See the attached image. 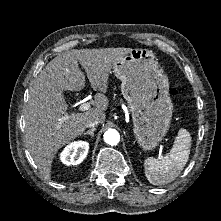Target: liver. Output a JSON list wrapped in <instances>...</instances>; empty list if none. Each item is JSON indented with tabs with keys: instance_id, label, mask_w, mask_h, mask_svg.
Masks as SVG:
<instances>
[{
	"instance_id": "liver-1",
	"label": "liver",
	"mask_w": 221,
	"mask_h": 221,
	"mask_svg": "<svg viewBox=\"0 0 221 221\" xmlns=\"http://www.w3.org/2000/svg\"><path fill=\"white\" fill-rule=\"evenodd\" d=\"M131 48L73 49L52 59L33 81L25 110V143L40 173L51 178V165L58 150L81 135L94 118L105 120L109 105L107 92L113 65ZM100 91L94 108L83 113L67 114L63 91H80L86 79Z\"/></svg>"
}]
</instances>
